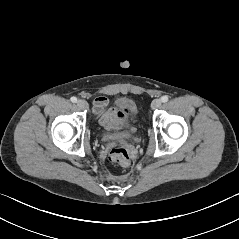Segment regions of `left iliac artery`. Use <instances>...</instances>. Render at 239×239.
Segmentation results:
<instances>
[{"instance_id": "obj_1", "label": "left iliac artery", "mask_w": 239, "mask_h": 239, "mask_svg": "<svg viewBox=\"0 0 239 239\" xmlns=\"http://www.w3.org/2000/svg\"><path fill=\"white\" fill-rule=\"evenodd\" d=\"M168 99H169V98H168V96H166V95H164V96L161 97V101L164 102V103L167 102Z\"/></svg>"}]
</instances>
